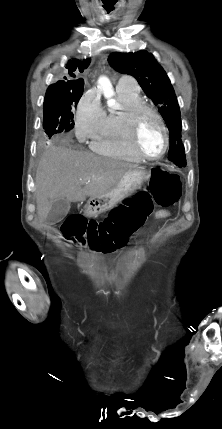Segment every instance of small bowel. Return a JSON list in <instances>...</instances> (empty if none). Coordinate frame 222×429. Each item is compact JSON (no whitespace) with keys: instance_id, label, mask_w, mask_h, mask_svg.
Wrapping results in <instances>:
<instances>
[{"instance_id":"small-bowel-1","label":"small bowel","mask_w":222,"mask_h":429,"mask_svg":"<svg viewBox=\"0 0 222 429\" xmlns=\"http://www.w3.org/2000/svg\"><path fill=\"white\" fill-rule=\"evenodd\" d=\"M168 215H169V212H168V211H165V210L158 211V212L156 213V217H157V218H165V217H167Z\"/></svg>"}]
</instances>
